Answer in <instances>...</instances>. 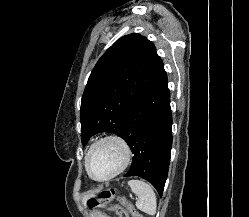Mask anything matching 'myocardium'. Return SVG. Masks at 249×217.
<instances>
[{"mask_svg": "<svg viewBox=\"0 0 249 217\" xmlns=\"http://www.w3.org/2000/svg\"><path fill=\"white\" fill-rule=\"evenodd\" d=\"M108 142L114 143L120 147V149L122 150V161L120 165L113 172H111L107 176L98 178L92 175L90 171L89 160H90L92 153L99 145L108 143ZM131 158H132V150H131L129 143L124 137H122L119 134H115V133L106 134L98 138L94 143H92L89 150L87 151V154L85 156V161H84L85 170L88 176L94 181H98V182L109 181L115 178L116 176H118L119 174H121L128 167V165L130 164Z\"/></svg>", "mask_w": 249, "mask_h": 217, "instance_id": "f54148a6", "label": "myocardium"}]
</instances>
